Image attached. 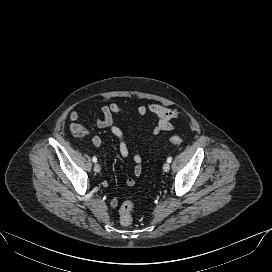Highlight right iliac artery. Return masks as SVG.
<instances>
[{"mask_svg":"<svg viewBox=\"0 0 272 272\" xmlns=\"http://www.w3.org/2000/svg\"><path fill=\"white\" fill-rule=\"evenodd\" d=\"M92 161H93L94 163H96V162H97V158L94 156V157L92 158Z\"/></svg>","mask_w":272,"mask_h":272,"instance_id":"82829eb1","label":"right iliac artery"}]
</instances>
